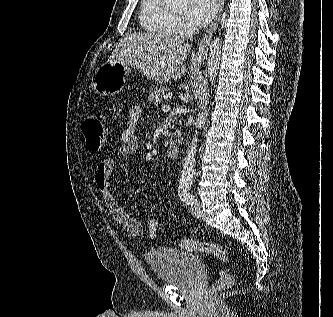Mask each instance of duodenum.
<instances>
[{
  "label": "duodenum",
  "mask_w": 333,
  "mask_h": 317,
  "mask_svg": "<svg viewBox=\"0 0 333 317\" xmlns=\"http://www.w3.org/2000/svg\"><path fill=\"white\" fill-rule=\"evenodd\" d=\"M180 135L178 133H174L169 139L166 146V154L169 159H177L180 154Z\"/></svg>",
  "instance_id": "410a0bca"
}]
</instances>
